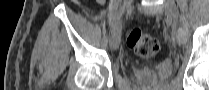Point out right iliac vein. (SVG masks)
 Here are the masks:
<instances>
[{
    "instance_id": "right-iliac-vein-1",
    "label": "right iliac vein",
    "mask_w": 209,
    "mask_h": 90,
    "mask_svg": "<svg viewBox=\"0 0 209 90\" xmlns=\"http://www.w3.org/2000/svg\"><path fill=\"white\" fill-rule=\"evenodd\" d=\"M130 3L131 1L126 2L127 8L130 7ZM120 41H121V24H119L118 27L115 28L112 34V37L110 40L111 49L116 50L119 47Z\"/></svg>"
}]
</instances>
